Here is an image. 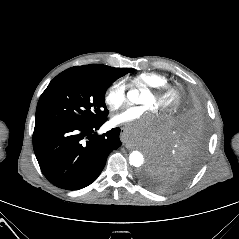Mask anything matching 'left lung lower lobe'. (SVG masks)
Here are the masks:
<instances>
[{
    "label": "left lung lower lobe",
    "mask_w": 239,
    "mask_h": 239,
    "mask_svg": "<svg viewBox=\"0 0 239 239\" xmlns=\"http://www.w3.org/2000/svg\"><path fill=\"white\" fill-rule=\"evenodd\" d=\"M207 123L198 95H185L174 123L151 153L147 171L164 181L166 190L188 182L201 163Z\"/></svg>",
    "instance_id": "0a47b994"
}]
</instances>
